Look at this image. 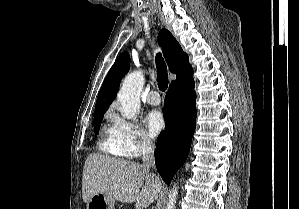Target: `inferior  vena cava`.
Returning <instances> with one entry per match:
<instances>
[{
  "label": "inferior vena cava",
  "instance_id": "inferior-vena-cava-1",
  "mask_svg": "<svg viewBox=\"0 0 299 209\" xmlns=\"http://www.w3.org/2000/svg\"><path fill=\"white\" fill-rule=\"evenodd\" d=\"M143 167L146 169L153 168L155 166L154 160V144L150 140H146L142 150Z\"/></svg>",
  "mask_w": 299,
  "mask_h": 209
}]
</instances>
